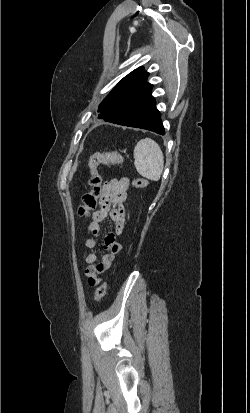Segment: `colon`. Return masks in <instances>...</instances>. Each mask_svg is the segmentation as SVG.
Returning a JSON list of instances; mask_svg holds the SVG:
<instances>
[{
	"instance_id": "1",
	"label": "colon",
	"mask_w": 250,
	"mask_h": 413,
	"mask_svg": "<svg viewBox=\"0 0 250 413\" xmlns=\"http://www.w3.org/2000/svg\"><path fill=\"white\" fill-rule=\"evenodd\" d=\"M124 159L119 153H96L89 159V186L90 191L87 192L82 198V204L78 209L80 216H87L92 210H94L102 196V183L103 179L98 171L100 164H121ZM135 188H144L148 185V181L143 178H136L132 182ZM107 283L103 282L95 290V300L99 302L106 294Z\"/></svg>"
}]
</instances>
